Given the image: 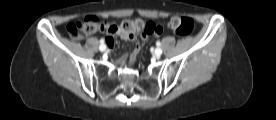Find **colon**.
<instances>
[{
  "mask_svg": "<svg viewBox=\"0 0 276 120\" xmlns=\"http://www.w3.org/2000/svg\"><path fill=\"white\" fill-rule=\"evenodd\" d=\"M168 28L180 36H189L194 30V21L189 17L176 16L167 22ZM97 31L105 33H117L125 39L142 34L147 37L158 36L161 28L153 22H145L141 19H126L119 23H112L97 16H90L82 21L70 23L67 33L72 39H80L82 34H93Z\"/></svg>",
  "mask_w": 276,
  "mask_h": 120,
  "instance_id": "5ec220e1",
  "label": "colon"
}]
</instances>
